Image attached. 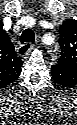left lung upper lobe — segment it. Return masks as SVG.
<instances>
[{
  "instance_id": "obj_1",
  "label": "left lung upper lobe",
  "mask_w": 77,
  "mask_h": 125,
  "mask_svg": "<svg viewBox=\"0 0 77 125\" xmlns=\"http://www.w3.org/2000/svg\"><path fill=\"white\" fill-rule=\"evenodd\" d=\"M61 56L57 61L59 65L77 67V21L67 20L60 27ZM72 75L68 80L60 83L63 86H71L73 84Z\"/></svg>"
}]
</instances>
